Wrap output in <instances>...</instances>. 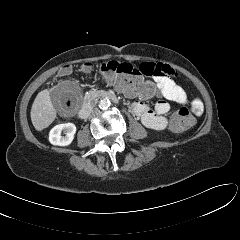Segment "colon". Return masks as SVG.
<instances>
[{"mask_svg":"<svg viewBox=\"0 0 240 240\" xmlns=\"http://www.w3.org/2000/svg\"><path fill=\"white\" fill-rule=\"evenodd\" d=\"M82 69L89 72L93 69V66L87 63ZM98 69L117 89L127 95L150 99L159 94L157 85L152 81L146 80L138 66L125 62L108 61L102 63ZM71 71V66H64L61 68L60 74L67 75ZM193 123V117L184 107L176 110L170 120L171 129L176 132L187 130Z\"/></svg>","mask_w":240,"mask_h":240,"instance_id":"obj_1","label":"colon"}]
</instances>
